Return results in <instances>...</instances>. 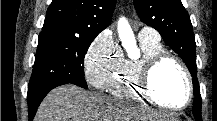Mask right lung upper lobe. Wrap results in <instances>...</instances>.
I'll return each instance as SVG.
<instances>
[{"mask_svg": "<svg viewBox=\"0 0 217 121\" xmlns=\"http://www.w3.org/2000/svg\"><path fill=\"white\" fill-rule=\"evenodd\" d=\"M116 0H53L42 32L96 37L112 20Z\"/></svg>", "mask_w": 217, "mask_h": 121, "instance_id": "cb5924a9", "label": "right lung upper lobe"}]
</instances>
